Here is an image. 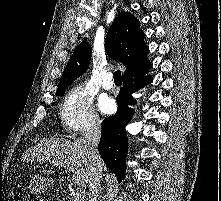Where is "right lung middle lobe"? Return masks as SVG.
<instances>
[{
  "label": "right lung middle lobe",
  "instance_id": "obj_1",
  "mask_svg": "<svg viewBox=\"0 0 221 201\" xmlns=\"http://www.w3.org/2000/svg\"><path fill=\"white\" fill-rule=\"evenodd\" d=\"M65 91L57 92L56 96H62Z\"/></svg>",
  "mask_w": 221,
  "mask_h": 201
}]
</instances>
